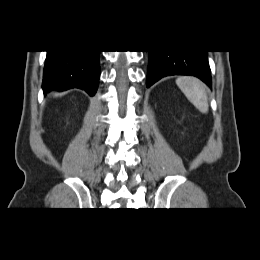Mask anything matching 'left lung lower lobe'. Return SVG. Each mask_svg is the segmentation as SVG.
<instances>
[{
	"mask_svg": "<svg viewBox=\"0 0 260 260\" xmlns=\"http://www.w3.org/2000/svg\"><path fill=\"white\" fill-rule=\"evenodd\" d=\"M171 75L196 76L211 88L212 79L207 51H149L147 87L161 78Z\"/></svg>",
	"mask_w": 260,
	"mask_h": 260,
	"instance_id": "left-lung-lower-lobe-1",
	"label": "left lung lower lobe"
}]
</instances>
